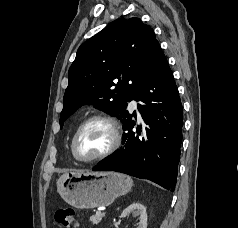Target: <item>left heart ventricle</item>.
Wrapping results in <instances>:
<instances>
[{"label": "left heart ventricle", "instance_id": "b2bd125f", "mask_svg": "<svg viewBox=\"0 0 238 228\" xmlns=\"http://www.w3.org/2000/svg\"><path fill=\"white\" fill-rule=\"evenodd\" d=\"M112 141V132L108 125L95 121L87 125L80 133L76 152L80 158L88 159L105 151Z\"/></svg>", "mask_w": 238, "mask_h": 228}]
</instances>
